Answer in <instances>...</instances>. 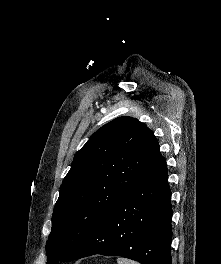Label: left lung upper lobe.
Returning a JSON list of instances; mask_svg holds the SVG:
<instances>
[{"instance_id": "1", "label": "left lung upper lobe", "mask_w": 221, "mask_h": 264, "mask_svg": "<svg viewBox=\"0 0 221 264\" xmlns=\"http://www.w3.org/2000/svg\"><path fill=\"white\" fill-rule=\"evenodd\" d=\"M161 158L152 131L134 118L118 117L97 130L76 153L61 185L47 264L74 251Z\"/></svg>"}]
</instances>
